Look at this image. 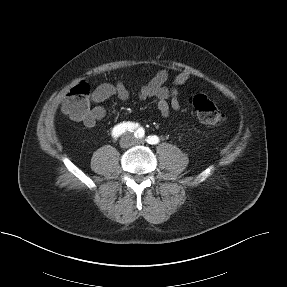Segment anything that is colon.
<instances>
[{
    "mask_svg": "<svg viewBox=\"0 0 287 287\" xmlns=\"http://www.w3.org/2000/svg\"><path fill=\"white\" fill-rule=\"evenodd\" d=\"M188 103L205 124L219 126L225 122V115L204 94L191 95ZM90 110V86L81 82L67 94L62 104V111L76 121H82Z\"/></svg>",
    "mask_w": 287,
    "mask_h": 287,
    "instance_id": "obj_1",
    "label": "colon"
}]
</instances>
